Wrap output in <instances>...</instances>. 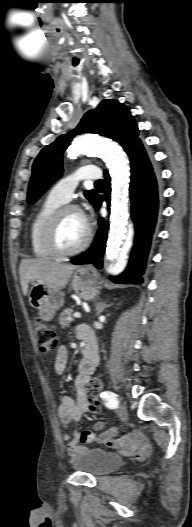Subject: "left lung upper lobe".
I'll list each match as a JSON object with an SVG mask.
<instances>
[{"instance_id":"obj_1","label":"left lung upper lobe","mask_w":192,"mask_h":527,"mask_svg":"<svg viewBox=\"0 0 192 527\" xmlns=\"http://www.w3.org/2000/svg\"><path fill=\"white\" fill-rule=\"evenodd\" d=\"M95 133L116 140L126 153L138 143V127L129 109L117 100H103L89 111L72 131L59 136L36 157L28 189V203H34L62 173V154L77 134ZM85 196L96 207L99 195L86 191Z\"/></svg>"}]
</instances>
